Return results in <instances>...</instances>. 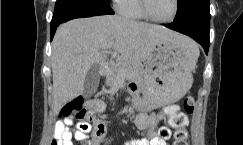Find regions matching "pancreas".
Returning a JSON list of instances; mask_svg holds the SVG:
<instances>
[{"label": "pancreas", "instance_id": "obj_1", "mask_svg": "<svg viewBox=\"0 0 243 145\" xmlns=\"http://www.w3.org/2000/svg\"><path fill=\"white\" fill-rule=\"evenodd\" d=\"M143 76L142 66L127 60H121L110 65L106 73V85L114 87L123 77L125 79H141Z\"/></svg>", "mask_w": 243, "mask_h": 145}]
</instances>
